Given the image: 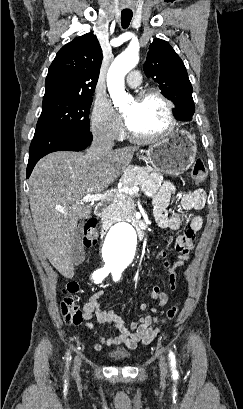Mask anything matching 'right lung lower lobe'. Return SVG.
<instances>
[{
	"mask_svg": "<svg viewBox=\"0 0 243 409\" xmlns=\"http://www.w3.org/2000/svg\"><path fill=\"white\" fill-rule=\"evenodd\" d=\"M91 141L92 134L90 132L79 133L36 129L30 146L27 178L30 176L35 164L43 156L61 150L82 151L90 145Z\"/></svg>",
	"mask_w": 243,
	"mask_h": 409,
	"instance_id": "98d812e1",
	"label": "right lung lower lobe"
}]
</instances>
